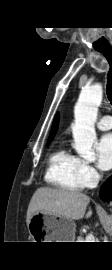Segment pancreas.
<instances>
[{"instance_id":"pancreas-1","label":"pancreas","mask_w":112,"mask_h":270,"mask_svg":"<svg viewBox=\"0 0 112 270\" xmlns=\"http://www.w3.org/2000/svg\"><path fill=\"white\" fill-rule=\"evenodd\" d=\"M76 242H84L82 237H78Z\"/></svg>"}]
</instances>
